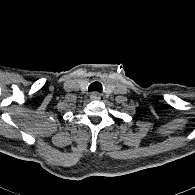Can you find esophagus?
<instances>
[{"mask_svg": "<svg viewBox=\"0 0 195 195\" xmlns=\"http://www.w3.org/2000/svg\"><path fill=\"white\" fill-rule=\"evenodd\" d=\"M90 97L93 100H100L101 99V95L99 93H97V92H92Z\"/></svg>", "mask_w": 195, "mask_h": 195, "instance_id": "34e87169", "label": "esophagus"}]
</instances>
